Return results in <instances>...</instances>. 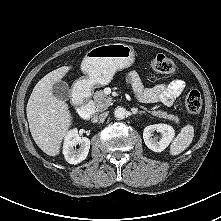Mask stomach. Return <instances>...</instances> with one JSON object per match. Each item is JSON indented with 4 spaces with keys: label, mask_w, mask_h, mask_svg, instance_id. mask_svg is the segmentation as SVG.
<instances>
[{
    "label": "stomach",
    "mask_w": 221,
    "mask_h": 221,
    "mask_svg": "<svg viewBox=\"0 0 221 221\" xmlns=\"http://www.w3.org/2000/svg\"><path fill=\"white\" fill-rule=\"evenodd\" d=\"M135 59L134 49L124 43L105 44L89 50L81 63L84 76L77 84L88 89L107 85L118 70L130 67Z\"/></svg>",
    "instance_id": "stomach-1"
}]
</instances>
